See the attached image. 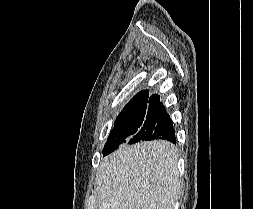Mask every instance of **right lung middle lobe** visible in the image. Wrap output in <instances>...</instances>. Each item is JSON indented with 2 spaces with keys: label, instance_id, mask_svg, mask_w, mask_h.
Returning a JSON list of instances; mask_svg holds the SVG:
<instances>
[{
  "label": "right lung middle lobe",
  "instance_id": "right-lung-middle-lobe-1",
  "mask_svg": "<svg viewBox=\"0 0 253 209\" xmlns=\"http://www.w3.org/2000/svg\"><path fill=\"white\" fill-rule=\"evenodd\" d=\"M158 110L144 109L129 116L119 117L103 148V156L108 155L121 144H133L142 140V135L154 128Z\"/></svg>",
  "mask_w": 253,
  "mask_h": 209
}]
</instances>
